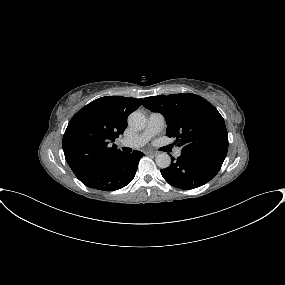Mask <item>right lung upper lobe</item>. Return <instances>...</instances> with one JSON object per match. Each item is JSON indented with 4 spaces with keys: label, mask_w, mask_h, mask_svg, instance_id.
Returning a JSON list of instances; mask_svg holds the SVG:
<instances>
[{
    "label": "right lung upper lobe",
    "mask_w": 285,
    "mask_h": 285,
    "mask_svg": "<svg viewBox=\"0 0 285 285\" xmlns=\"http://www.w3.org/2000/svg\"><path fill=\"white\" fill-rule=\"evenodd\" d=\"M141 102L142 99L105 96L72 117L63 136V151L76 176L122 153L109 143L123 134L127 117Z\"/></svg>",
    "instance_id": "cb5924a9"
}]
</instances>
